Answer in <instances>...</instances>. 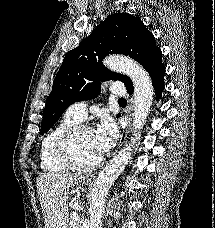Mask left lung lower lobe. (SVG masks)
I'll return each instance as SVG.
<instances>
[{"label": "left lung lower lobe", "instance_id": "left-lung-lower-lobe-1", "mask_svg": "<svg viewBox=\"0 0 215 228\" xmlns=\"http://www.w3.org/2000/svg\"><path fill=\"white\" fill-rule=\"evenodd\" d=\"M162 52L159 50L151 63L146 68L147 72L150 74L152 79V84L155 89L156 99L158 100L161 93L164 90V74L165 67L162 63ZM128 93L131 95L133 93V85L127 88ZM120 115H118L119 117Z\"/></svg>", "mask_w": 215, "mask_h": 228}]
</instances>
